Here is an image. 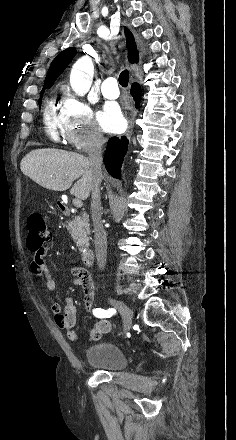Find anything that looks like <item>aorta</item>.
Segmentation results:
<instances>
[{"instance_id": "762f6f07", "label": "aorta", "mask_w": 236, "mask_h": 440, "mask_svg": "<svg viewBox=\"0 0 236 440\" xmlns=\"http://www.w3.org/2000/svg\"><path fill=\"white\" fill-rule=\"evenodd\" d=\"M94 73V65L90 58H80L72 67L70 73V85L73 91L79 95H85L91 87Z\"/></svg>"}]
</instances>
